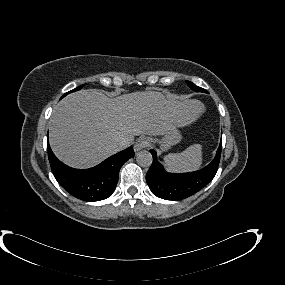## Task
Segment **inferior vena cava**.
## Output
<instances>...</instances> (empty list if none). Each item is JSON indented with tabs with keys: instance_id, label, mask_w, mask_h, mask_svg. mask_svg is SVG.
I'll return each mask as SVG.
<instances>
[{
	"instance_id": "inferior-vena-cava-1",
	"label": "inferior vena cava",
	"mask_w": 285,
	"mask_h": 285,
	"mask_svg": "<svg viewBox=\"0 0 285 285\" xmlns=\"http://www.w3.org/2000/svg\"><path fill=\"white\" fill-rule=\"evenodd\" d=\"M113 146L116 151H120L127 146V142L124 140L116 141L113 143Z\"/></svg>"
}]
</instances>
